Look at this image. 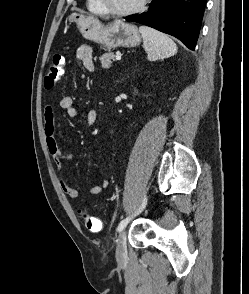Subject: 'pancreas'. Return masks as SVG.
Segmentation results:
<instances>
[{
    "label": "pancreas",
    "mask_w": 249,
    "mask_h": 294,
    "mask_svg": "<svg viewBox=\"0 0 249 294\" xmlns=\"http://www.w3.org/2000/svg\"><path fill=\"white\" fill-rule=\"evenodd\" d=\"M114 57H115V55L113 52H108V53L103 54L100 58L102 67L105 69L111 67V63H112V60H114Z\"/></svg>",
    "instance_id": "1"
}]
</instances>
